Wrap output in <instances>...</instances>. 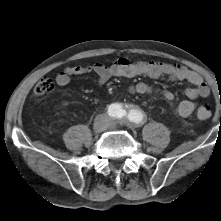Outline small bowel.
Listing matches in <instances>:
<instances>
[{
	"mask_svg": "<svg viewBox=\"0 0 221 221\" xmlns=\"http://www.w3.org/2000/svg\"><path fill=\"white\" fill-rule=\"evenodd\" d=\"M93 74L95 81L103 85L113 77H136L147 76L159 78L166 76L174 81H187L191 84L184 90L187 97L175 107V112L180 117L190 116L196 109L198 98H205L210 95V89L204 79L195 71L181 65L160 63L156 61H132L126 57H119L111 64L94 63L92 65L67 66L59 72L55 81L59 86H66L74 76ZM129 95L150 94L160 92L167 102H172L174 94L169 90H159L145 83H137L127 88Z\"/></svg>",
	"mask_w": 221,
	"mask_h": 221,
	"instance_id": "c3829d8e",
	"label": "small bowel"
}]
</instances>
